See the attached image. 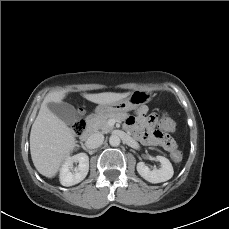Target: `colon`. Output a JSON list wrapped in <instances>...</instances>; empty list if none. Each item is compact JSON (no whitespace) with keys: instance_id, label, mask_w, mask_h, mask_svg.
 <instances>
[{"instance_id":"obj_1","label":"colon","mask_w":229,"mask_h":229,"mask_svg":"<svg viewBox=\"0 0 229 229\" xmlns=\"http://www.w3.org/2000/svg\"><path fill=\"white\" fill-rule=\"evenodd\" d=\"M172 119L165 117L159 126V129L155 132V138L159 141L160 145L171 152V157L175 162H180L182 160V153L177 151V145L175 140L169 135L170 132L174 130V124ZM86 129L85 121L82 117H78L72 125V131L80 135Z\"/></svg>"}]
</instances>
